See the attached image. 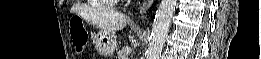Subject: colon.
<instances>
[{
	"label": "colon",
	"instance_id": "obj_1",
	"mask_svg": "<svg viewBox=\"0 0 261 59\" xmlns=\"http://www.w3.org/2000/svg\"><path fill=\"white\" fill-rule=\"evenodd\" d=\"M74 40L77 44V46L81 47L85 42V35L82 32H73Z\"/></svg>",
	"mask_w": 261,
	"mask_h": 59
}]
</instances>
